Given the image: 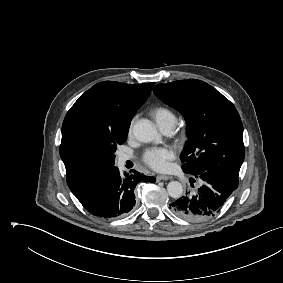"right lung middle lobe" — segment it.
Returning <instances> with one entry per match:
<instances>
[{"instance_id": "right-lung-middle-lobe-1", "label": "right lung middle lobe", "mask_w": 283, "mask_h": 283, "mask_svg": "<svg viewBox=\"0 0 283 283\" xmlns=\"http://www.w3.org/2000/svg\"><path fill=\"white\" fill-rule=\"evenodd\" d=\"M128 131H123L117 135H110L104 142L103 147L108 152V154L111 156L112 161H115V155L114 152L117 148V145H121L125 142L127 138Z\"/></svg>"}]
</instances>
